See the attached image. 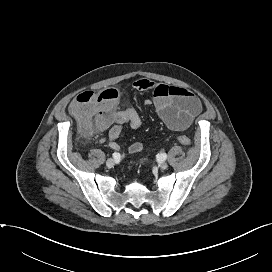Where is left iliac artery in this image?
Masks as SVG:
<instances>
[{
    "instance_id": "1",
    "label": "left iliac artery",
    "mask_w": 272,
    "mask_h": 272,
    "mask_svg": "<svg viewBox=\"0 0 272 272\" xmlns=\"http://www.w3.org/2000/svg\"><path fill=\"white\" fill-rule=\"evenodd\" d=\"M159 159L166 160L167 159V155L165 153H161V154H159Z\"/></svg>"
}]
</instances>
